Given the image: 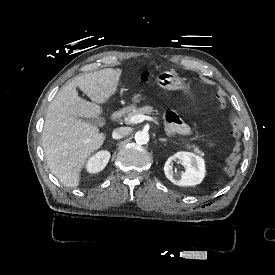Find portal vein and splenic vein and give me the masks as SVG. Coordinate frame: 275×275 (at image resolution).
Returning <instances> with one entry per match:
<instances>
[{
    "label": "portal vein and splenic vein",
    "instance_id": "obj_1",
    "mask_svg": "<svg viewBox=\"0 0 275 275\" xmlns=\"http://www.w3.org/2000/svg\"><path fill=\"white\" fill-rule=\"evenodd\" d=\"M144 120L153 121V118L150 117V116L138 114V115L133 116V117L130 119V123H141V122H143Z\"/></svg>",
    "mask_w": 275,
    "mask_h": 275
}]
</instances>
